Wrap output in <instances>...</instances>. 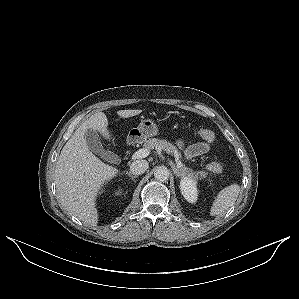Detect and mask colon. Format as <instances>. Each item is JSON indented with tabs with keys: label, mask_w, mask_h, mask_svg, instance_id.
<instances>
[{
	"label": "colon",
	"mask_w": 299,
	"mask_h": 299,
	"mask_svg": "<svg viewBox=\"0 0 299 299\" xmlns=\"http://www.w3.org/2000/svg\"><path fill=\"white\" fill-rule=\"evenodd\" d=\"M196 133L201 139L208 142H212L216 138L214 132L208 129H199ZM208 169L212 172H221L223 170V166L219 163L212 162L208 165Z\"/></svg>",
	"instance_id": "5ec220e1"
}]
</instances>
